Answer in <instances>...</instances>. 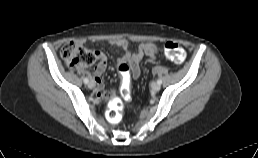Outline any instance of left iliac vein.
<instances>
[{
    "mask_svg": "<svg viewBox=\"0 0 258 158\" xmlns=\"http://www.w3.org/2000/svg\"><path fill=\"white\" fill-rule=\"evenodd\" d=\"M151 89H152L154 92L159 91V90H160V84H158V83H156V82L152 83Z\"/></svg>",
    "mask_w": 258,
    "mask_h": 158,
    "instance_id": "left-iliac-vein-1",
    "label": "left iliac vein"
}]
</instances>
